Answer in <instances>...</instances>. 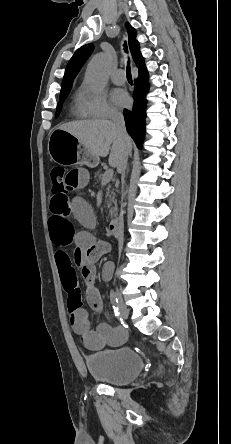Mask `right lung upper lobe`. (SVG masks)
<instances>
[{
	"mask_svg": "<svg viewBox=\"0 0 231 444\" xmlns=\"http://www.w3.org/2000/svg\"><path fill=\"white\" fill-rule=\"evenodd\" d=\"M126 27L128 30L129 47H130L131 53L133 55V59L137 65L139 71H142V70L146 69V67H145V63H144V58L139 51L140 45H139V42L136 40V31L128 22L126 23ZM93 48H94L93 44H86V45L80 47L74 53V55L72 56V58L70 59L68 65L66 67L63 82L61 85V91L68 90L71 88L72 83H73V79L80 71L84 62L90 56L91 52L93 51Z\"/></svg>",
	"mask_w": 231,
	"mask_h": 444,
	"instance_id": "cb5924a9",
	"label": "right lung upper lobe"
}]
</instances>
